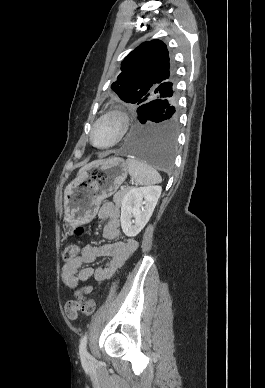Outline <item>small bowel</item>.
<instances>
[{
  "mask_svg": "<svg viewBox=\"0 0 265 388\" xmlns=\"http://www.w3.org/2000/svg\"><path fill=\"white\" fill-rule=\"evenodd\" d=\"M97 215L99 219L105 221L102 231L104 239L111 242L103 245H86L76 259L64 264L61 279L71 289H74L79 281L85 282L92 278L96 281L109 280L138 247L137 242L132 238L119 240L121 218L119 207L106 202L99 208ZM100 257L110 259L107 266H85ZM83 291L89 293L91 286H85ZM79 309V305L74 301H69L65 305V313L70 319L77 318Z\"/></svg>",
  "mask_w": 265,
  "mask_h": 388,
  "instance_id": "obj_1",
  "label": "small bowel"
}]
</instances>
